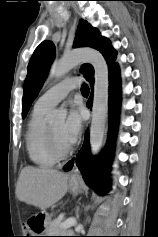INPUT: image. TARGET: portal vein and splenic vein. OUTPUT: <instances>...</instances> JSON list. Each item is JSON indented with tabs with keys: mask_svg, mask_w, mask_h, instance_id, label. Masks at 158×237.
<instances>
[{
	"mask_svg": "<svg viewBox=\"0 0 158 237\" xmlns=\"http://www.w3.org/2000/svg\"><path fill=\"white\" fill-rule=\"evenodd\" d=\"M76 224V219L73 217L68 218L61 224V228H69L71 226H74Z\"/></svg>",
	"mask_w": 158,
	"mask_h": 237,
	"instance_id": "portal-vein-and-splenic-vein-1",
	"label": "portal vein and splenic vein"
}]
</instances>
